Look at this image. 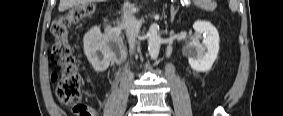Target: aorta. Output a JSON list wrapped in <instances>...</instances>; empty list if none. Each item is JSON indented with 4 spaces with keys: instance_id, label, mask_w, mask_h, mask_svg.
<instances>
[{
    "instance_id": "762f6f07",
    "label": "aorta",
    "mask_w": 283,
    "mask_h": 116,
    "mask_svg": "<svg viewBox=\"0 0 283 116\" xmlns=\"http://www.w3.org/2000/svg\"><path fill=\"white\" fill-rule=\"evenodd\" d=\"M148 37V51L152 59H157L160 51V46L162 43L161 37L159 35V26L156 23L151 24L149 31L147 33Z\"/></svg>"
}]
</instances>
